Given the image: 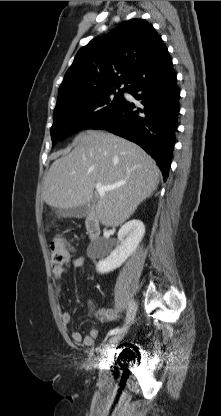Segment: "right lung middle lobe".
Listing matches in <instances>:
<instances>
[{
	"label": "right lung middle lobe",
	"mask_w": 221,
	"mask_h": 416,
	"mask_svg": "<svg viewBox=\"0 0 221 416\" xmlns=\"http://www.w3.org/2000/svg\"><path fill=\"white\" fill-rule=\"evenodd\" d=\"M127 89H112L97 92L83 98L57 105L51 127L52 144L82 130L94 129L99 122L112 118L125 101L123 92Z\"/></svg>",
	"instance_id": "obj_1"
}]
</instances>
